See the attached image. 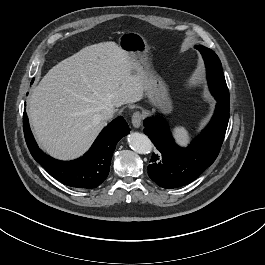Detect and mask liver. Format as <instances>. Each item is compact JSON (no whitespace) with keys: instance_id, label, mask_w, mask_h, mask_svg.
<instances>
[{"instance_id":"liver-1","label":"liver","mask_w":265,"mask_h":265,"mask_svg":"<svg viewBox=\"0 0 265 265\" xmlns=\"http://www.w3.org/2000/svg\"><path fill=\"white\" fill-rule=\"evenodd\" d=\"M146 87L140 63L115 42L83 48L32 90L27 112L38 144L60 160L80 157L105 126L100 112L140 101Z\"/></svg>"}]
</instances>
